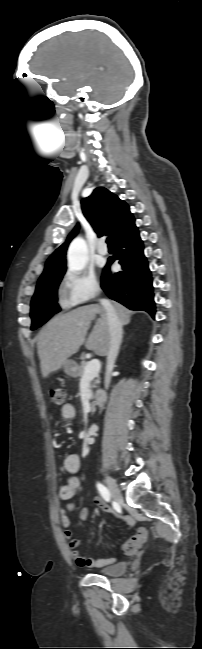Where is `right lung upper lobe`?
<instances>
[{
  "mask_svg": "<svg viewBox=\"0 0 202 649\" xmlns=\"http://www.w3.org/2000/svg\"><path fill=\"white\" fill-rule=\"evenodd\" d=\"M81 207L98 237L108 234L112 235L115 241L137 228L129 206L104 187L96 188L89 197L84 198ZM78 230L77 225L65 242L48 258L41 277L66 270V251Z\"/></svg>",
  "mask_w": 202,
  "mask_h": 649,
  "instance_id": "obj_1",
  "label": "right lung upper lobe"
}]
</instances>
